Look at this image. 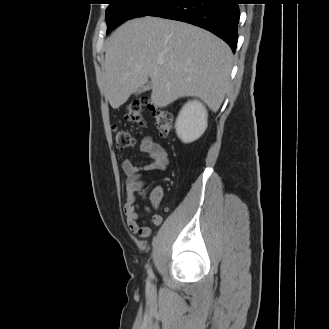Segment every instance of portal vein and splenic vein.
I'll return each instance as SVG.
<instances>
[{"instance_id":"1","label":"portal vein and splenic vein","mask_w":329,"mask_h":329,"mask_svg":"<svg viewBox=\"0 0 329 329\" xmlns=\"http://www.w3.org/2000/svg\"><path fill=\"white\" fill-rule=\"evenodd\" d=\"M158 64H159V65H162V64H163V62H162V61H159V62H158Z\"/></svg>"}]
</instances>
